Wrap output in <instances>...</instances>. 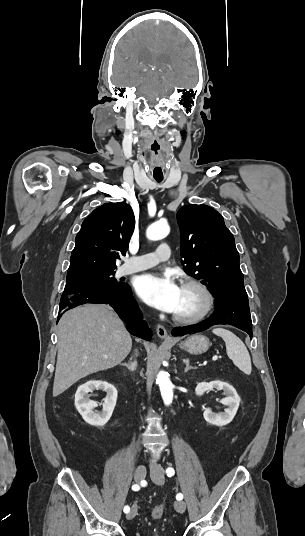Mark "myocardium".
I'll use <instances>...</instances> for the list:
<instances>
[{"label":"myocardium","mask_w":305,"mask_h":536,"mask_svg":"<svg viewBox=\"0 0 305 536\" xmlns=\"http://www.w3.org/2000/svg\"><path fill=\"white\" fill-rule=\"evenodd\" d=\"M181 286L193 287L199 290L205 300L204 307L201 311L192 314H176L172 315L174 321L180 323H192L201 321L207 318L215 309L216 297L213 290L202 280L197 278H186L181 283Z\"/></svg>","instance_id":"obj_1"}]
</instances>
